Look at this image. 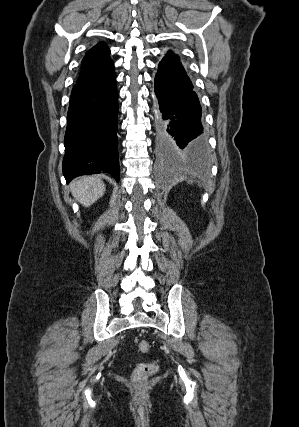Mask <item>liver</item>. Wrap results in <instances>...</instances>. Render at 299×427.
Masks as SVG:
<instances>
[{
    "label": "liver",
    "instance_id": "liver-1",
    "mask_svg": "<svg viewBox=\"0 0 299 427\" xmlns=\"http://www.w3.org/2000/svg\"><path fill=\"white\" fill-rule=\"evenodd\" d=\"M73 197L83 206L95 203L105 193V184L97 176H83L70 184Z\"/></svg>",
    "mask_w": 299,
    "mask_h": 427
}]
</instances>
